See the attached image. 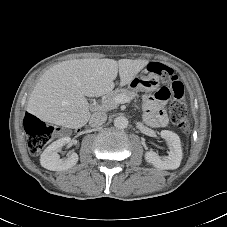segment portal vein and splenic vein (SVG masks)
Wrapping results in <instances>:
<instances>
[{
  "mask_svg": "<svg viewBox=\"0 0 227 227\" xmlns=\"http://www.w3.org/2000/svg\"><path fill=\"white\" fill-rule=\"evenodd\" d=\"M115 101H116L117 103H127V102H130V99L127 98V97H125V96H117V97L115 98Z\"/></svg>",
  "mask_w": 227,
  "mask_h": 227,
  "instance_id": "portal-vein-and-splenic-vein-1",
  "label": "portal vein and splenic vein"
}]
</instances>
